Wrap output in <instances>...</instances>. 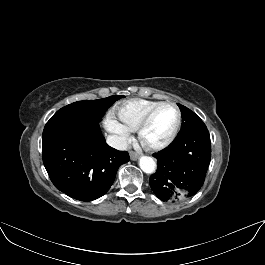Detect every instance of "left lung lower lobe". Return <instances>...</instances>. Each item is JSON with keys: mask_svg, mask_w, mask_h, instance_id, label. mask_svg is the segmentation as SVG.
<instances>
[{"mask_svg": "<svg viewBox=\"0 0 265 265\" xmlns=\"http://www.w3.org/2000/svg\"><path fill=\"white\" fill-rule=\"evenodd\" d=\"M153 156L158 168L149 183L159 199L177 202L195 195L204 183L211 160L206 125L177 135L166 149Z\"/></svg>", "mask_w": 265, "mask_h": 265, "instance_id": "obj_1", "label": "left lung lower lobe"}]
</instances>
